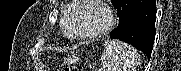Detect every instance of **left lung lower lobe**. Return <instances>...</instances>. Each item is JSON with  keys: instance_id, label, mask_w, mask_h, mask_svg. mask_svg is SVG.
I'll use <instances>...</instances> for the list:
<instances>
[{"instance_id": "0a47b994", "label": "left lung lower lobe", "mask_w": 181, "mask_h": 71, "mask_svg": "<svg viewBox=\"0 0 181 71\" xmlns=\"http://www.w3.org/2000/svg\"><path fill=\"white\" fill-rule=\"evenodd\" d=\"M114 6L119 25L110 37L133 45L150 58L156 32V1L118 0Z\"/></svg>"}]
</instances>
